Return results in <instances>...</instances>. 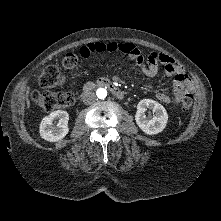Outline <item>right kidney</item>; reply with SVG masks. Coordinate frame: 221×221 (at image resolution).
<instances>
[{"mask_svg":"<svg viewBox=\"0 0 221 221\" xmlns=\"http://www.w3.org/2000/svg\"><path fill=\"white\" fill-rule=\"evenodd\" d=\"M58 120V124L54 123ZM69 114L63 110L51 112L45 116L40 124V136L47 141L56 142L63 139L69 132Z\"/></svg>","mask_w":221,"mask_h":221,"instance_id":"1","label":"right kidney"}]
</instances>
